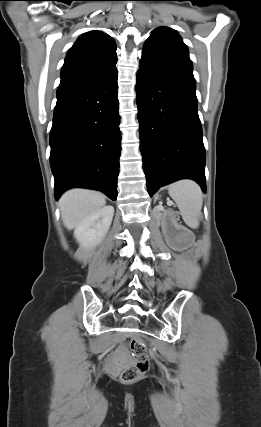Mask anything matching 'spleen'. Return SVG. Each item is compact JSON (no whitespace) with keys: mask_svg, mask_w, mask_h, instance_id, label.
<instances>
[{"mask_svg":"<svg viewBox=\"0 0 261 427\" xmlns=\"http://www.w3.org/2000/svg\"><path fill=\"white\" fill-rule=\"evenodd\" d=\"M168 192L176 202L185 224L192 229L198 228L203 204L199 185L192 180H181L171 184Z\"/></svg>","mask_w":261,"mask_h":427,"instance_id":"spleen-1","label":"spleen"}]
</instances>
